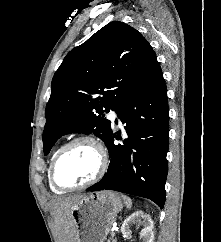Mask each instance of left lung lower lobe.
<instances>
[{"instance_id": "0a47b994", "label": "left lung lower lobe", "mask_w": 221, "mask_h": 242, "mask_svg": "<svg viewBox=\"0 0 221 242\" xmlns=\"http://www.w3.org/2000/svg\"><path fill=\"white\" fill-rule=\"evenodd\" d=\"M125 135L111 130L106 138L110 164L102 180L87 191L115 190L165 203L169 137L167 89L159 67L149 81L120 107ZM117 123V120L115 121ZM121 144L115 145L114 139Z\"/></svg>"}]
</instances>
